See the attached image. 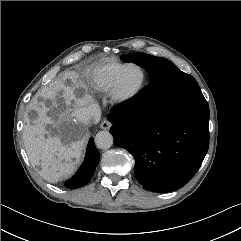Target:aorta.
Here are the masks:
<instances>
[{"mask_svg": "<svg viewBox=\"0 0 241 241\" xmlns=\"http://www.w3.org/2000/svg\"><path fill=\"white\" fill-rule=\"evenodd\" d=\"M95 143L100 149H108L113 145V136L108 131H100L96 134Z\"/></svg>", "mask_w": 241, "mask_h": 241, "instance_id": "1", "label": "aorta"}]
</instances>
